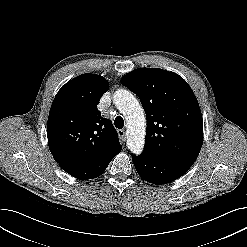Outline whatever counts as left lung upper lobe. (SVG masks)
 Masks as SVG:
<instances>
[{
    "mask_svg": "<svg viewBox=\"0 0 247 247\" xmlns=\"http://www.w3.org/2000/svg\"><path fill=\"white\" fill-rule=\"evenodd\" d=\"M121 83L139 97L146 113L144 152L193 164L203 143V121L188 83L158 68L133 70Z\"/></svg>",
    "mask_w": 247,
    "mask_h": 247,
    "instance_id": "1",
    "label": "left lung upper lobe"
}]
</instances>
